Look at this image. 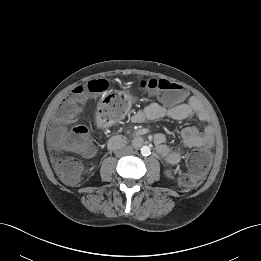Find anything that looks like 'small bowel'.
<instances>
[{"instance_id": "1", "label": "small bowel", "mask_w": 261, "mask_h": 261, "mask_svg": "<svg viewBox=\"0 0 261 261\" xmlns=\"http://www.w3.org/2000/svg\"><path fill=\"white\" fill-rule=\"evenodd\" d=\"M196 115L202 121L207 120L205 110L197 97H191L188 102L166 107L158 103H150L142 110L137 111L132 116L135 123H143L147 120L156 121L161 119H170L181 121ZM182 148H204L209 149L214 142L213 129L206 124L202 130L197 127H185L181 131ZM154 142L159 155L169 164H177L181 160V149L171 148L166 144V137L162 133L154 135Z\"/></svg>"}]
</instances>
